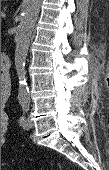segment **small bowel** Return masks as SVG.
I'll return each instance as SVG.
<instances>
[{
  "label": "small bowel",
  "instance_id": "small-bowel-1",
  "mask_svg": "<svg viewBox=\"0 0 109 170\" xmlns=\"http://www.w3.org/2000/svg\"><path fill=\"white\" fill-rule=\"evenodd\" d=\"M8 96V92H5L1 96L2 102L6 99ZM7 127H8V116L5 112H1V135H2V140H4V137L7 132Z\"/></svg>",
  "mask_w": 109,
  "mask_h": 170
}]
</instances>
